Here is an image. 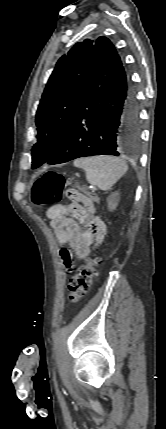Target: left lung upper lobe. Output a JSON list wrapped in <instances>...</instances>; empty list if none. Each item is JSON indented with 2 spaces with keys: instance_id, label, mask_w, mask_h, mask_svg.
Listing matches in <instances>:
<instances>
[{
  "instance_id": "left-lung-upper-lobe-1",
  "label": "left lung upper lobe",
  "mask_w": 166,
  "mask_h": 429,
  "mask_svg": "<svg viewBox=\"0 0 166 429\" xmlns=\"http://www.w3.org/2000/svg\"><path fill=\"white\" fill-rule=\"evenodd\" d=\"M95 40L78 42L57 62L42 94L37 112V143L32 168L44 164L59 144L89 77Z\"/></svg>"
}]
</instances>
